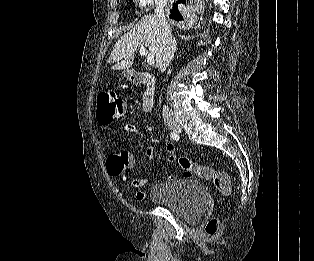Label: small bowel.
Listing matches in <instances>:
<instances>
[{"label": "small bowel", "instance_id": "obj_1", "mask_svg": "<svg viewBox=\"0 0 314 261\" xmlns=\"http://www.w3.org/2000/svg\"><path fill=\"white\" fill-rule=\"evenodd\" d=\"M125 130L127 132L130 133H138L139 130L133 126V125H127L125 127ZM165 151L168 155V161L169 162H173L175 161V155H174V146L172 144H167L165 147ZM145 155L148 159L150 160H154L155 158V150L154 147L152 145H148L145 149ZM128 159H129V166H134L135 164V159L133 157V155L128 154ZM173 177H170V179H172ZM148 182V178L147 177H143V178H135L131 181V187L134 189H140L143 186H145ZM146 198V192L143 190H138L136 193V199L137 200H144Z\"/></svg>", "mask_w": 314, "mask_h": 261}]
</instances>
